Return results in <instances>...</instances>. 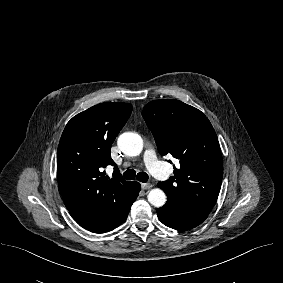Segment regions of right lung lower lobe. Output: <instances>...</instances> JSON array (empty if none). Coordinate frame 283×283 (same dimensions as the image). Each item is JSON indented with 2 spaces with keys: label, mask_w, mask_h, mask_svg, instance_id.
Here are the masks:
<instances>
[{
  "label": "right lung lower lobe",
  "mask_w": 283,
  "mask_h": 283,
  "mask_svg": "<svg viewBox=\"0 0 283 283\" xmlns=\"http://www.w3.org/2000/svg\"><path fill=\"white\" fill-rule=\"evenodd\" d=\"M140 184L137 183L136 186V192L134 193L133 198L131 199L130 203L125 207V209L121 212V214L117 217L116 220H114L112 223L108 224L107 226H105L102 229H99L97 231H94L95 233H103V232H108L116 227H118L121 223L124 222V220L127 218L128 213L130 211L131 205L133 204V202L136 200L139 191H140Z\"/></svg>",
  "instance_id": "1"
}]
</instances>
